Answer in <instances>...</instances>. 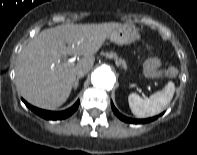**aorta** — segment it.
Returning a JSON list of instances; mask_svg holds the SVG:
<instances>
[{
  "label": "aorta",
  "instance_id": "1",
  "mask_svg": "<svg viewBox=\"0 0 197 155\" xmlns=\"http://www.w3.org/2000/svg\"><path fill=\"white\" fill-rule=\"evenodd\" d=\"M114 82L115 76L109 67H99L92 74V84L96 87L110 90Z\"/></svg>",
  "mask_w": 197,
  "mask_h": 155
}]
</instances>
